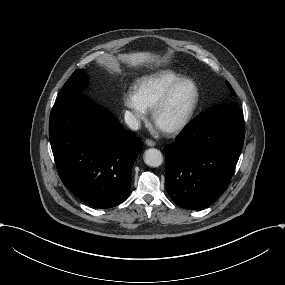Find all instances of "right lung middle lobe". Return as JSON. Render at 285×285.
I'll list each match as a JSON object with an SVG mask.
<instances>
[{
  "instance_id": "obj_1",
  "label": "right lung middle lobe",
  "mask_w": 285,
  "mask_h": 285,
  "mask_svg": "<svg viewBox=\"0 0 285 285\" xmlns=\"http://www.w3.org/2000/svg\"><path fill=\"white\" fill-rule=\"evenodd\" d=\"M87 83V74L83 70L77 69L64 84L58 98L80 93Z\"/></svg>"
}]
</instances>
